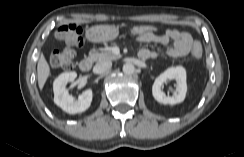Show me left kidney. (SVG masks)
Returning <instances> with one entry per match:
<instances>
[{
	"mask_svg": "<svg viewBox=\"0 0 244 157\" xmlns=\"http://www.w3.org/2000/svg\"><path fill=\"white\" fill-rule=\"evenodd\" d=\"M167 80L176 81V90L172 96H167L163 90V84ZM187 92L186 70L182 66L171 67L160 74L152 86V94L155 100L163 104L174 105L184 101Z\"/></svg>",
	"mask_w": 244,
	"mask_h": 157,
	"instance_id": "1",
	"label": "left kidney"
}]
</instances>
